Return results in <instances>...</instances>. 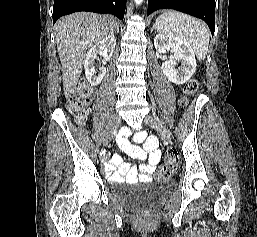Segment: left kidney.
<instances>
[{"mask_svg":"<svg viewBox=\"0 0 257 237\" xmlns=\"http://www.w3.org/2000/svg\"><path fill=\"white\" fill-rule=\"evenodd\" d=\"M154 47L161 53L171 50L173 53L169 58L166 56L162 64L164 75L174 84H183L187 82L196 71V59L191 46L176 37L157 34L154 38ZM180 63L181 67L176 68V64Z\"/></svg>","mask_w":257,"mask_h":237,"instance_id":"obj_1","label":"left kidney"}]
</instances>
